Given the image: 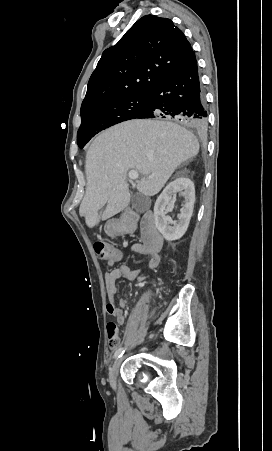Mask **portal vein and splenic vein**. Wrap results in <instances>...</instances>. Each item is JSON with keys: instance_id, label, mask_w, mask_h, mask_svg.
Returning a JSON list of instances; mask_svg holds the SVG:
<instances>
[{"instance_id": "obj_1", "label": "portal vein and splenic vein", "mask_w": 272, "mask_h": 451, "mask_svg": "<svg viewBox=\"0 0 272 451\" xmlns=\"http://www.w3.org/2000/svg\"><path fill=\"white\" fill-rule=\"evenodd\" d=\"M128 178H130V180H138L139 174H138L137 170H130V172L128 174Z\"/></svg>"}]
</instances>
